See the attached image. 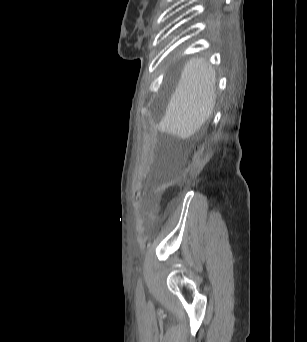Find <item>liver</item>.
Wrapping results in <instances>:
<instances>
[{
	"mask_svg": "<svg viewBox=\"0 0 307 342\" xmlns=\"http://www.w3.org/2000/svg\"><path fill=\"white\" fill-rule=\"evenodd\" d=\"M216 72L203 58H191L159 122L161 132L187 140L209 120L216 104Z\"/></svg>",
	"mask_w": 307,
	"mask_h": 342,
	"instance_id": "obj_1",
	"label": "liver"
}]
</instances>
